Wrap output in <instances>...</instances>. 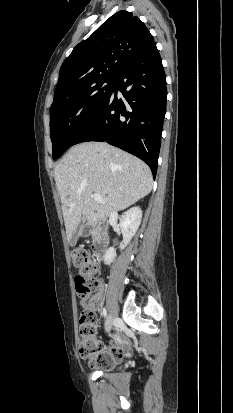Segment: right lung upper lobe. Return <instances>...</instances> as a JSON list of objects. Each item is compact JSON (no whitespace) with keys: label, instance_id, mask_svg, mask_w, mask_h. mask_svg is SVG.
<instances>
[{"label":"right lung upper lobe","instance_id":"1","mask_svg":"<svg viewBox=\"0 0 233 413\" xmlns=\"http://www.w3.org/2000/svg\"><path fill=\"white\" fill-rule=\"evenodd\" d=\"M153 43V36L138 17L125 10L117 12L65 59L54 101L99 80L115 78L125 64L139 57Z\"/></svg>","mask_w":233,"mask_h":413}]
</instances>
